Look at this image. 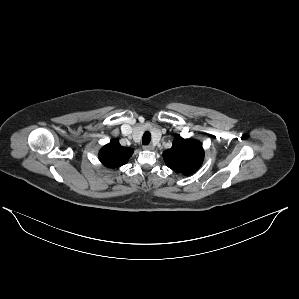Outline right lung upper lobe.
<instances>
[{
  "mask_svg": "<svg viewBox=\"0 0 299 299\" xmlns=\"http://www.w3.org/2000/svg\"><path fill=\"white\" fill-rule=\"evenodd\" d=\"M132 153V148L122 147L118 140L113 139L100 150L99 160L108 168L120 167L128 162Z\"/></svg>",
  "mask_w": 299,
  "mask_h": 299,
  "instance_id": "obj_1",
  "label": "right lung upper lobe"
}]
</instances>
